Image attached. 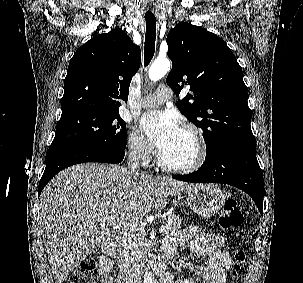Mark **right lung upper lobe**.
Instances as JSON below:
<instances>
[{
	"mask_svg": "<svg viewBox=\"0 0 303 283\" xmlns=\"http://www.w3.org/2000/svg\"><path fill=\"white\" fill-rule=\"evenodd\" d=\"M140 47L121 29L99 34L70 60L61 116L82 111L119 113L132 77L140 67Z\"/></svg>",
	"mask_w": 303,
	"mask_h": 283,
	"instance_id": "right-lung-upper-lobe-1",
	"label": "right lung upper lobe"
}]
</instances>
